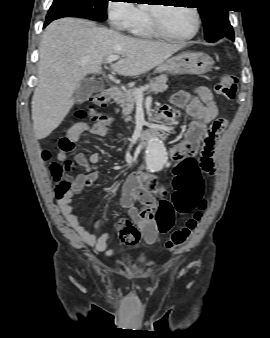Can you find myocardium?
Returning a JSON list of instances; mask_svg holds the SVG:
<instances>
[{"label":"myocardium","instance_id":"1","mask_svg":"<svg viewBox=\"0 0 270 338\" xmlns=\"http://www.w3.org/2000/svg\"><path fill=\"white\" fill-rule=\"evenodd\" d=\"M164 7H170V6H167V5H150L149 9H148L149 24H150V27H151L153 33L156 36L161 37L163 39L170 40V41H187V40L194 38L198 34V32L200 30L201 19H200V15L198 13L197 8L189 7L193 11V13L195 15V19H196V26H195L194 31L187 36H175V35L168 33L161 25L159 15H158V11H159L160 8H164Z\"/></svg>","mask_w":270,"mask_h":338}]
</instances>
